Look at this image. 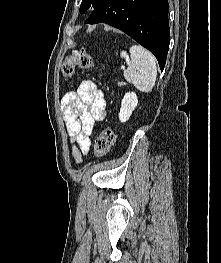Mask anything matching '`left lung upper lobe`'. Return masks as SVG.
<instances>
[{
	"instance_id": "obj_1",
	"label": "left lung upper lobe",
	"mask_w": 221,
	"mask_h": 263,
	"mask_svg": "<svg viewBox=\"0 0 221 263\" xmlns=\"http://www.w3.org/2000/svg\"><path fill=\"white\" fill-rule=\"evenodd\" d=\"M104 0H82L80 12L84 13L90 8L98 7Z\"/></svg>"
}]
</instances>
